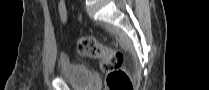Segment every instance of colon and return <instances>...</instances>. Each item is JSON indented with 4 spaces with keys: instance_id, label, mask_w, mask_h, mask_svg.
Instances as JSON below:
<instances>
[{
    "instance_id": "1",
    "label": "colon",
    "mask_w": 209,
    "mask_h": 90,
    "mask_svg": "<svg viewBox=\"0 0 209 90\" xmlns=\"http://www.w3.org/2000/svg\"><path fill=\"white\" fill-rule=\"evenodd\" d=\"M58 15L62 23L67 22L68 13L64 0L59 2ZM77 52L82 57L100 61V68L105 74V81L109 90H133L132 81L124 69V56L121 52L104 46L91 35L79 38Z\"/></svg>"
}]
</instances>
